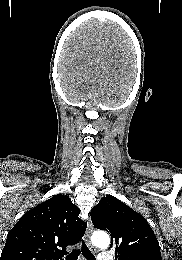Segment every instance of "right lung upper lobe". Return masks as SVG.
I'll return each mask as SVG.
<instances>
[{"mask_svg":"<svg viewBox=\"0 0 182 260\" xmlns=\"http://www.w3.org/2000/svg\"><path fill=\"white\" fill-rule=\"evenodd\" d=\"M68 196L57 194L27 211L7 235L1 260H62L87 224Z\"/></svg>","mask_w":182,"mask_h":260,"instance_id":"1","label":"right lung upper lobe"}]
</instances>
